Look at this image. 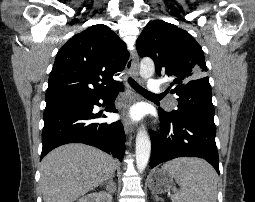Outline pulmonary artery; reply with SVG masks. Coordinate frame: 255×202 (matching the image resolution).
<instances>
[{
  "label": "pulmonary artery",
  "instance_id": "1",
  "mask_svg": "<svg viewBox=\"0 0 255 202\" xmlns=\"http://www.w3.org/2000/svg\"><path fill=\"white\" fill-rule=\"evenodd\" d=\"M147 90L151 93H160L161 92V82L156 79H149L147 84ZM171 106H175V102L171 103Z\"/></svg>",
  "mask_w": 255,
  "mask_h": 202
}]
</instances>
